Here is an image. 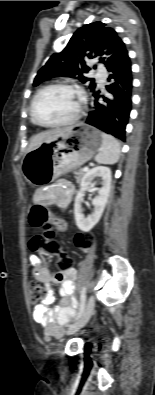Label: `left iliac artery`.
Instances as JSON below:
<instances>
[{"mask_svg": "<svg viewBox=\"0 0 155 395\" xmlns=\"http://www.w3.org/2000/svg\"><path fill=\"white\" fill-rule=\"evenodd\" d=\"M85 302H86V289L83 288L81 296H80V308H79V312H78L75 320L79 319L82 316L84 309H85Z\"/></svg>", "mask_w": 155, "mask_h": 395, "instance_id": "left-iliac-artery-1", "label": "left iliac artery"}]
</instances>
